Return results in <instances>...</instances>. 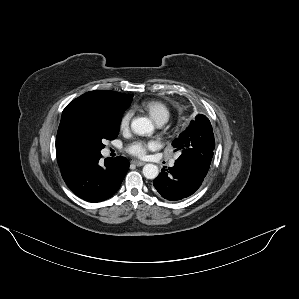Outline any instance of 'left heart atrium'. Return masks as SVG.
<instances>
[{
	"label": "left heart atrium",
	"mask_w": 299,
	"mask_h": 299,
	"mask_svg": "<svg viewBox=\"0 0 299 299\" xmlns=\"http://www.w3.org/2000/svg\"><path fill=\"white\" fill-rule=\"evenodd\" d=\"M154 146H155L154 142L145 143V142L137 141L129 145L127 151L134 156L143 157L146 154L147 150Z\"/></svg>",
	"instance_id": "1"
}]
</instances>
